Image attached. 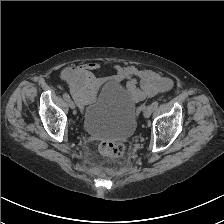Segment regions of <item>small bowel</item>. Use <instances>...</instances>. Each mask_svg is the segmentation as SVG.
<instances>
[{
    "label": "small bowel",
    "mask_w": 224,
    "mask_h": 224,
    "mask_svg": "<svg viewBox=\"0 0 224 224\" xmlns=\"http://www.w3.org/2000/svg\"><path fill=\"white\" fill-rule=\"evenodd\" d=\"M87 70H99V63H88L83 66ZM114 80L127 82V92L135 101L140 102L146 97H153L172 88L173 82L165 75L151 69H139L135 66H115Z\"/></svg>",
    "instance_id": "1"
}]
</instances>
